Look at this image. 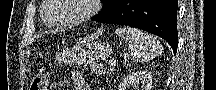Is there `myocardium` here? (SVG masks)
<instances>
[{
	"label": "myocardium",
	"instance_id": "1",
	"mask_svg": "<svg viewBox=\"0 0 216 90\" xmlns=\"http://www.w3.org/2000/svg\"><path fill=\"white\" fill-rule=\"evenodd\" d=\"M48 2H53L54 5L53 8H51V11L46 12L45 17H41L42 22L50 30L67 31L75 27H78L79 25L85 23L90 18H92V16L97 11V5L95 3H100V0H82L81 4H83L85 7L83 13L75 22L67 25H53L49 22L50 18H52L53 15H57V12H60V9H62V0H48ZM72 2L75 3V1Z\"/></svg>",
	"mask_w": 216,
	"mask_h": 90
}]
</instances>
